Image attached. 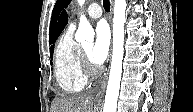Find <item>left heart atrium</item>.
I'll use <instances>...</instances> for the list:
<instances>
[{"instance_id": "left-heart-atrium-1", "label": "left heart atrium", "mask_w": 193, "mask_h": 112, "mask_svg": "<svg viewBox=\"0 0 193 112\" xmlns=\"http://www.w3.org/2000/svg\"><path fill=\"white\" fill-rule=\"evenodd\" d=\"M110 48V31L105 22H100L96 27V40L91 50V61L102 64L108 56Z\"/></svg>"}]
</instances>
